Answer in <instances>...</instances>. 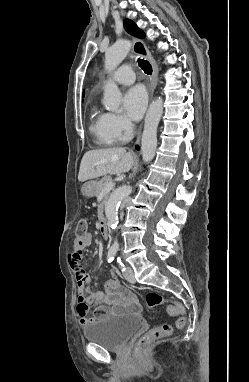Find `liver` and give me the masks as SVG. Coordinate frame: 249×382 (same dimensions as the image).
Here are the masks:
<instances>
[{
    "instance_id": "6515ba94",
    "label": "liver",
    "mask_w": 249,
    "mask_h": 382,
    "mask_svg": "<svg viewBox=\"0 0 249 382\" xmlns=\"http://www.w3.org/2000/svg\"><path fill=\"white\" fill-rule=\"evenodd\" d=\"M135 155L121 147L87 151L80 164V182L95 179L106 174L120 175L130 171Z\"/></svg>"
}]
</instances>
